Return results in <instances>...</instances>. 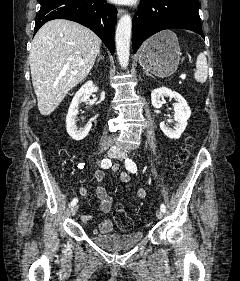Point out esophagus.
<instances>
[{
    "label": "esophagus",
    "instance_id": "34e87169",
    "mask_svg": "<svg viewBox=\"0 0 240 281\" xmlns=\"http://www.w3.org/2000/svg\"><path fill=\"white\" fill-rule=\"evenodd\" d=\"M123 10L122 9H118V16H121L123 14Z\"/></svg>",
    "mask_w": 240,
    "mask_h": 281
}]
</instances>
